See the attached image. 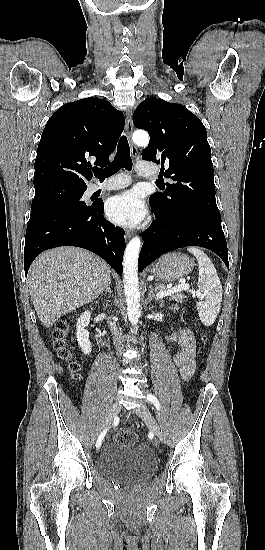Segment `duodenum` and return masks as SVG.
Returning <instances> with one entry per match:
<instances>
[{"mask_svg":"<svg viewBox=\"0 0 265 550\" xmlns=\"http://www.w3.org/2000/svg\"><path fill=\"white\" fill-rule=\"evenodd\" d=\"M98 327V325H96ZM99 330V328H98ZM99 339L101 342H104V332L100 331Z\"/></svg>","mask_w":265,"mask_h":550,"instance_id":"1","label":"duodenum"}]
</instances>
